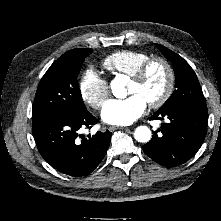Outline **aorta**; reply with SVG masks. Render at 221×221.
<instances>
[{
  "label": "aorta",
  "mask_w": 221,
  "mask_h": 221,
  "mask_svg": "<svg viewBox=\"0 0 221 221\" xmlns=\"http://www.w3.org/2000/svg\"><path fill=\"white\" fill-rule=\"evenodd\" d=\"M127 80L124 76H116L110 84L112 93L117 98H123L127 95L125 88ZM151 130L147 126H138L134 131V138L141 143H146L151 139Z\"/></svg>",
  "instance_id": "obj_1"
}]
</instances>
